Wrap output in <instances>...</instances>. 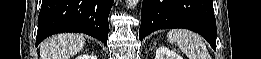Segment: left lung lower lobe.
<instances>
[{
  "label": "left lung lower lobe",
  "instance_id": "1",
  "mask_svg": "<svg viewBox=\"0 0 261 59\" xmlns=\"http://www.w3.org/2000/svg\"><path fill=\"white\" fill-rule=\"evenodd\" d=\"M171 28L195 31L216 50L212 0H143L139 39L156 30Z\"/></svg>",
  "mask_w": 261,
  "mask_h": 59
}]
</instances>
